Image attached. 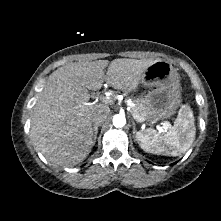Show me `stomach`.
I'll return each mask as SVG.
<instances>
[{"label":"stomach","instance_id":"stomach-1","mask_svg":"<svg viewBox=\"0 0 221 221\" xmlns=\"http://www.w3.org/2000/svg\"><path fill=\"white\" fill-rule=\"evenodd\" d=\"M141 83L151 90L145 96L147 120L153 122L171 117L181 102L177 70L165 60H157L143 73Z\"/></svg>","mask_w":221,"mask_h":221}]
</instances>
